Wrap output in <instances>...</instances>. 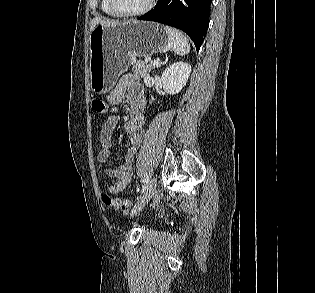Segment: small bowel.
Here are the masks:
<instances>
[{
	"label": "small bowel",
	"mask_w": 315,
	"mask_h": 293,
	"mask_svg": "<svg viewBox=\"0 0 315 293\" xmlns=\"http://www.w3.org/2000/svg\"><path fill=\"white\" fill-rule=\"evenodd\" d=\"M126 98H128L130 102V118L125 124V130L130 146L125 155L123 164L115 169H105V174L107 176L116 179L115 183H112L107 187V190L113 194L123 191L132 179L134 159L143 139L146 124L143 87L136 83L133 76L130 74L124 75L108 96V102L112 106V111L101 128V148L97 154V161L99 163H105L109 158L112 149V135L119 119L117 110L119 105Z\"/></svg>",
	"instance_id": "small-bowel-1"
}]
</instances>
